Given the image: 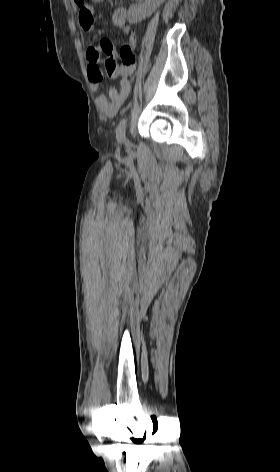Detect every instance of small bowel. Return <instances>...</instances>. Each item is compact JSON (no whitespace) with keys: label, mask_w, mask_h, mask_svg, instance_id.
<instances>
[{"label":"small bowel","mask_w":280,"mask_h":472,"mask_svg":"<svg viewBox=\"0 0 280 472\" xmlns=\"http://www.w3.org/2000/svg\"><path fill=\"white\" fill-rule=\"evenodd\" d=\"M100 3L103 0H92ZM79 13V23L83 30L91 31L94 26V9L86 0H74ZM128 11L125 7H117L112 14V22L120 28L124 33L128 34V42L133 46L136 44V34L129 26ZM104 55L105 61L113 60L116 62L118 57L117 50L113 42L107 38L100 41L99 45L90 46L86 52L88 61V77L91 88L97 91L103 78V70L100 65V56ZM136 65H120L118 66V77H120L119 85L110 86L108 95H99L96 98L97 105L101 111L108 117H113L125 102L131 89V78L135 72Z\"/></svg>","instance_id":"c3829d8e"}]
</instances>
